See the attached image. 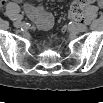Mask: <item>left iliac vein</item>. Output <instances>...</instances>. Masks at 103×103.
Segmentation results:
<instances>
[{
    "mask_svg": "<svg viewBox=\"0 0 103 103\" xmlns=\"http://www.w3.org/2000/svg\"><path fill=\"white\" fill-rule=\"evenodd\" d=\"M79 32H85L87 30V26L84 24H80L76 27Z\"/></svg>",
    "mask_w": 103,
    "mask_h": 103,
    "instance_id": "left-iliac-vein-1",
    "label": "left iliac vein"
}]
</instances>
